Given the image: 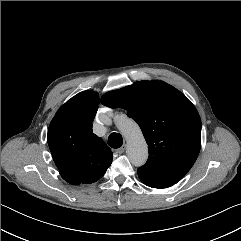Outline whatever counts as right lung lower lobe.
I'll return each mask as SVG.
<instances>
[{
	"label": "right lung lower lobe",
	"instance_id": "obj_1",
	"mask_svg": "<svg viewBox=\"0 0 241 241\" xmlns=\"http://www.w3.org/2000/svg\"><path fill=\"white\" fill-rule=\"evenodd\" d=\"M62 178L65 179V181L69 182L70 184H77L73 178H71L67 175L62 176Z\"/></svg>",
	"mask_w": 241,
	"mask_h": 241
}]
</instances>
